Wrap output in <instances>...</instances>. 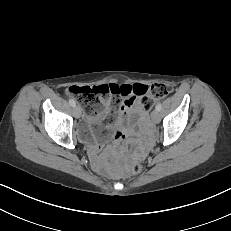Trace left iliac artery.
<instances>
[{
    "label": "left iliac artery",
    "mask_w": 231,
    "mask_h": 231,
    "mask_svg": "<svg viewBox=\"0 0 231 231\" xmlns=\"http://www.w3.org/2000/svg\"><path fill=\"white\" fill-rule=\"evenodd\" d=\"M161 108H162L161 103H158V104L156 105V110L160 111Z\"/></svg>",
    "instance_id": "obj_1"
}]
</instances>
